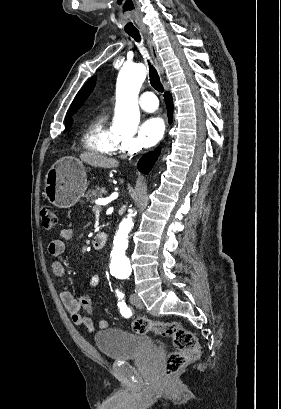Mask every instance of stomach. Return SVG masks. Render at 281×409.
<instances>
[{"label":"stomach","mask_w":281,"mask_h":409,"mask_svg":"<svg viewBox=\"0 0 281 409\" xmlns=\"http://www.w3.org/2000/svg\"><path fill=\"white\" fill-rule=\"evenodd\" d=\"M87 174L82 160L62 156L54 162L45 176L44 194L59 209H70L85 192Z\"/></svg>","instance_id":"1"}]
</instances>
